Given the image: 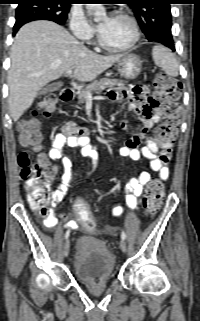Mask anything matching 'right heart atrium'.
<instances>
[{
    "mask_svg": "<svg viewBox=\"0 0 200 321\" xmlns=\"http://www.w3.org/2000/svg\"><path fill=\"white\" fill-rule=\"evenodd\" d=\"M69 28L72 34L79 40H90L94 35V29L80 8H73L69 16Z\"/></svg>",
    "mask_w": 200,
    "mask_h": 321,
    "instance_id": "obj_1",
    "label": "right heart atrium"
}]
</instances>
